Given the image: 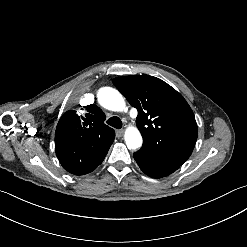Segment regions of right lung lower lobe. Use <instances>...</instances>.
<instances>
[{
  "instance_id": "right-lung-lower-lobe-1",
  "label": "right lung lower lobe",
  "mask_w": 247,
  "mask_h": 247,
  "mask_svg": "<svg viewBox=\"0 0 247 247\" xmlns=\"http://www.w3.org/2000/svg\"><path fill=\"white\" fill-rule=\"evenodd\" d=\"M102 161L95 163V164L86 165L84 167H72L71 169L67 171L75 175H84V174L90 173L93 170H95L97 166H99L102 163Z\"/></svg>"
}]
</instances>
